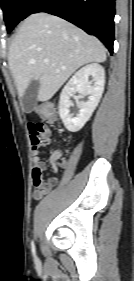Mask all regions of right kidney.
Listing matches in <instances>:
<instances>
[{
	"mask_svg": "<svg viewBox=\"0 0 134 281\" xmlns=\"http://www.w3.org/2000/svg\"><path fill=\"white\" fill-rule=\"evenodd\" d=\"M92 77V81H89ZM105 71L104 68L92 63L78 70L63 88L59 101V115L67 130L71 132L79 131L90 119L96 109L104 91ZM76 92L80 97L88 95V101L78 103L79 112L74 116L70 114L69 108L73 106L71 97Z\"/></svg>",
	"mask_w": 134,
	"mask_h": 281,
	"instance_id": "ca27d5eb",
	"label": "right kidney"
}]
</instances>
